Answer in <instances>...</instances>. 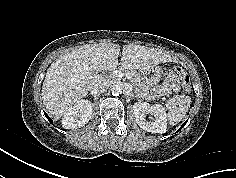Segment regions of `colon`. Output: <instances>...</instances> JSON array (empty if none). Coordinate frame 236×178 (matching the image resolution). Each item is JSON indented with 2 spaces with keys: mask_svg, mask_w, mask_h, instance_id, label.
I'll return each instance as SVG.
<instances>
[{
  "mask_svg": "<svg viewBox=\"0 0 236 178\" xmlns=\"http://www.w3.org/2000/svg\"><path fill=\"white\" fill-rule=\"evenodd\" d=\"M167 73L169 75H175V76H182V87L185 92H190L191 89V79L188 74H184L182 69L178 66H171L168 70Z\"/></svg>",
  "mask_w": 236,
  "mask_h": 178,
  "instance_id": "obj_1",
  "label": "colon"
}]
</instances>
